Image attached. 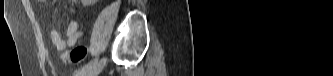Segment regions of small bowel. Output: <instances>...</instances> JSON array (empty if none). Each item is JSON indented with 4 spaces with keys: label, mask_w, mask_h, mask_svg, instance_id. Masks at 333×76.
I'll return each mask as SVG.
<instances>
[{
    "label": "small bowel",
    "mask_w": 333,
    "mask_h": 76,
    "mask_svg": "<svg viewBox=\"0 0 333 76\" xmlns=\"http://www.w3.org/2000/svg\"><path fill=\"white\" fill-rule=\"evenodd\" d=\"M73 2L78 3L77 0H74ZM82 35L83 32L79 29L78 22L76 20H72L67 26L66 38H63L56 29H53L51 31V40L58 51H64L69 47H73Z\"/></svg>",
    "instance_id": "small-bowel-1"
}]
</instances>
